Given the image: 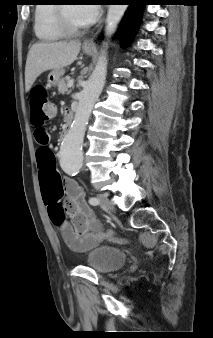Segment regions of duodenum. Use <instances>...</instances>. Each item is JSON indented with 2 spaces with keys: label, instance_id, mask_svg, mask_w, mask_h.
Masks as SVG:
<instances>
[{
  "label": "duodenum",
  "instance_id": "1",
  "mask_svg": "<svg viewBox=\"0 0 213 338\" xmlns=\"http://www.w3.org/2000/svg\"><path fill=\"white\" fill-rule=\"evenodd\" d=\"M72 125V114H68L67 120L63 126L62 137L65 138Z\"/></svg>",
  "mask_w": 213,
  "mask_h": 338
}]
</instances>
